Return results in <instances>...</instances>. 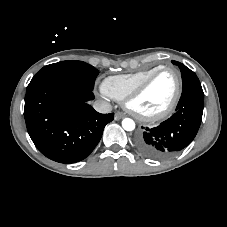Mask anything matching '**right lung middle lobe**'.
<instances>
[{
  "label": "right lung middle lobe",
  "mask_w": 227,
  "mask_h": 227,
  "mask_svg": "<svg viewBox=\"0 0 227 227\" xmlns=\"http://www.w3.org/2000/svg\"><path fill=\"white\" fill-rule=\"evenodd\" d=\"M98 74L99 71L96 68L85 62L62 61L43 67L35 74L30 84L48 78H60L78 83L83 87L93 90Z\"/></svg>",
  "instance_id": "right-lung-middle-lobe-1"
}]
</instances>
